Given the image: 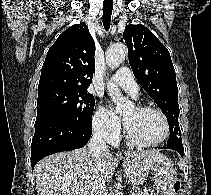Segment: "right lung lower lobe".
Returning a JSON list of instances; mask_svg holds the SVG:
<instances>
[{
    "mask_svg": "<svg viewBox=\"0 0 211 195\" xmlns=\"http://www.w3.org/2000/svg\"><path fill=\"white\" fill-rule=\"evenodd\" d=\"M92 134V123L66 119H47L35 124L31 166L45 156L85 146Z\"/></svg>",
    "mask_w": 211,
    "mask_h": 195,
    "instance_id": "98d812e1",
    "label": "right lung lower lobe"
}]
</instances>
